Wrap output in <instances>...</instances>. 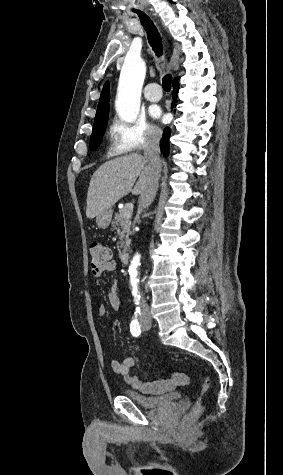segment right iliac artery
<instances>
[{
    "mask_svg": "<svg viewBox=\"0 0 283 475\" xmlns=\"http://www.w3.org/2000/svg\"><path fill=\"white\" fill-rule=\"evenodd\" d=\"M130 331L134 337H138L141 333L140 325L137 320V315H135V319H133L130 324Z\"/></svg>",
    "mask_w": 283,
    "mask_h": 475,
    "instance_id": "obj_1",
    "label": "right iliac artery"
}]
</instances>
